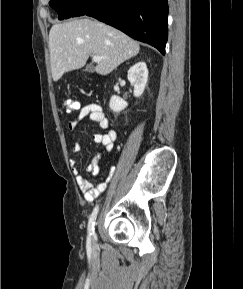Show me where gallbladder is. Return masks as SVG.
<instances>
[{
	"mask_svg": "<svg viewBox=\"0 0 243 289\" xmlns=\"http://www.w3.org/2000/svg\"><path fill=\"white\" fill-rule=\"evenodd\" d=\"M85 72H93L94 71V67L91 65H87L84 69Z\"/></svg>",
	"mask_w": 243,
	"mask_h": 289,
	"instance_id": "gallbladder-1",
	"label": "gallbladder"
}]
</instances>
